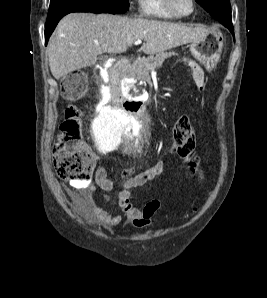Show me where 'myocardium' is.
I'll use <instances>...</instances> for the list:
<instances>
[{
  "label": "myocardium",
  "instance_id": "myocardium-1",
  "mask_svg": "<svg viewBox=\"0 0 267 298\" xmlns=\"http://www.w3.org/2000/svg\"><path fill=\"white\" fill-rule=\"evenodd\" d=\"M162 3H163L164 8H165L169 13H171L173 16L178 17V18H185V17H188V16L192 15V14L194 13V11H195V0H191V6H192V7H191V11H190L189 13H187V14H180V13H178V12L174 9L171 0H162Z\"/></svg>",
  "mask_w": 267,
  "mask_h": 298
}]
</instances>
